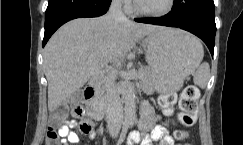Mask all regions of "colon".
Instances as JSON below:
<instances>
[{
  "instance_id": "1",
  "label": "colon",
  "mask_w": 243,
  "mask_h": 145,
  "mask_svg": "<svg viewBox=\"0 0 243 145\" xmlns=\"http://www.w3.org/2000/svg\"><path fill=\"white\" fill-rule=\"evenodd\" d=\"M199 98V90L195 86H187L181 93L179 99V107L181 112L177 117V123L182 126H191L196 120L197 101ZM160 106L166 115H171L175 104V95L173 93L164 94L160 98ZM76 118H80L84 114V108L79 104L76 96H71L59 105L51 114L50 125L46 134V145H61L58 138V125L65 120L69 114ZM80 130L83 133H88L92 130V123L88 120H82ZM175 137L179 141H184L187 138L185 130H177ZM190 145V144H183Z\"/></svg>"
}]
</instances>
